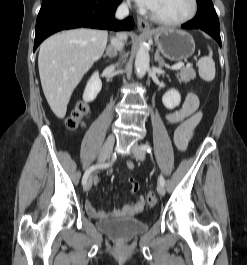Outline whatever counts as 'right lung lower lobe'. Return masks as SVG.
Instances as JSON below:
<instances>
[{
	"label": "right lung lower lobe",
	"mask_w": 247,
	"mask_h": 265,
	"mask_svg": "<svg viewBox=\"0 0 247 265\" xmlns=\"http://www.w3.org/2000/svg\"><path fill=\"white\" fill-rule=\"evenodd\" d=\"M122 0H43L36 21L34 51L51 34L64 29L90 27L131 30L133 21L114 19Z\"/></svg>",
	"instance_id": "obj_1"
}]
</instances>
